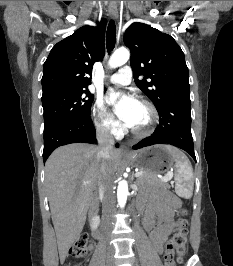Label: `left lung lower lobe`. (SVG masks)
Masks as SVG:
<instances>
[{
  "label": "left lung lower lobe",
  "instance_id": "left-lung-lower-lobe-1",
  "mask_svg": "<svg viewBox=\"0 0 233 266\" xmlns=\"http://www.w3.org/2000/svg\"><path fill=\"white\" fill-rule=\"evenodd\" d=\"M160 124L154 133L133 146V149L154 145L171 144L188 152L196 161L191 134L190 95L168 100L160 109Z\"/></svg>",
  "mask_w": 233,
  "mask_h": 266
}]
</instances>
